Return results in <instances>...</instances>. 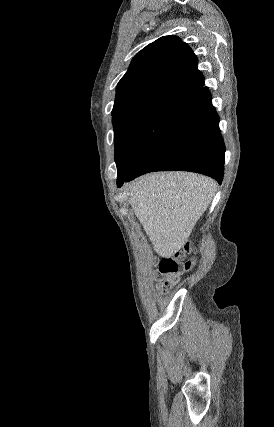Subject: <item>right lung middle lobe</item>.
Listing matches in <instances>:
<instances>
[{"label": "right lung middle lobe", "mask_w": 274, "mask_h": 427, "mask_svg": "<svg viewBox=\"0 0 274 427\" xmlns=\"http://www.w3.org/2000/svg\"><path fill=\"white\" fill-rule=\"evenodd\" d=\"M174 103L151 96L113 109L115 161L129 166L141 153Z\"/></svg>", "instance_id": "1"}]
</instances>
